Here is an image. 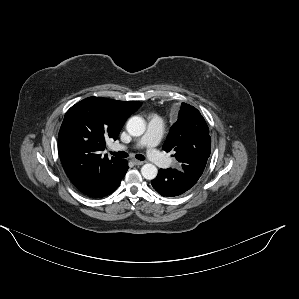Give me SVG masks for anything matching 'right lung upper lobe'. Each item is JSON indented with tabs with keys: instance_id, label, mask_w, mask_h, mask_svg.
Instances as JSON below:
<instances>
[{
	"instance_id": "cb5924a9",
	"label": "right lung upper lobe",
	"mask_w": 299,
	"mask_h": 299,
	"mask_svg": "<svg viewBox=\"0 0 299 299\" xmlns=\"http://www.w3.org/2000/svg\"><path fill=\"white\" fill-rule=\"evenodd\" d=\"M141 104L89 97L66 112L58 135V151L67 176L82 193L95 195L109 183L123 159L101 156L106 139L116 140L127 118Z\"/></svg>"
}]
</instances>
